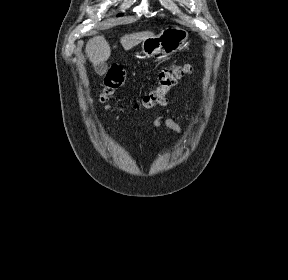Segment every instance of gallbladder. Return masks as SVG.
Returning <instances> with one entry per match:
<instances>
[{"label": "gallbladder", "mask_w": 288, "mask_h": 280, "mask_svg": "<svg viewBox=\"0 0 288 280\" xmlns=\"http://www.w3.org/2000/svg\"><path fill=\"white\" fill-rule=\"evenodd\" d=\"M94 70L99 76H103L108 71V65L105 62L94 64Z\"/></svg>", "instance_id": "obj_1"}]
</instances>
